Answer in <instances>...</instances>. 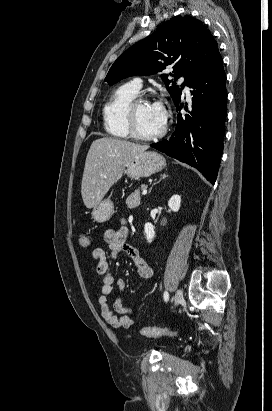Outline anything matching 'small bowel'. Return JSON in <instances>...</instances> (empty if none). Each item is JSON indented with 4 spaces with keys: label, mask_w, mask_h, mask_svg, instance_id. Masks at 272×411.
<instances>
[{
    "label": "small bowel",
    "mask_w": 272,
    "mask_h": 411,
    "mask_svg": "<svg viewBox=\"0 0 272 411\" xmlns=\"http://www.w3.org/2000/svg\"><path fill=\"white\" fill-rule=\"evenodd\" d=\"M129 229L123 225L117 230L107 229L104 232V241L107 244L109 258L115 259L121 252L130 257L136 267L138 275L143 279H149L153 275L152 265L141 257L139 251L127 243ZM92 257L96 262L97 274L101 277V293L98 298L100 314L103 320L116 329H129L135 325L132 318L134 310L125 306L120 296H117L113 307L108 304V300L116 288L119 292L123 291L125 283L123 280H116L109 268L108 256L103 248H95Z\"/></svg>",
    "instance_id": "obj_1"
}]
</instances>
